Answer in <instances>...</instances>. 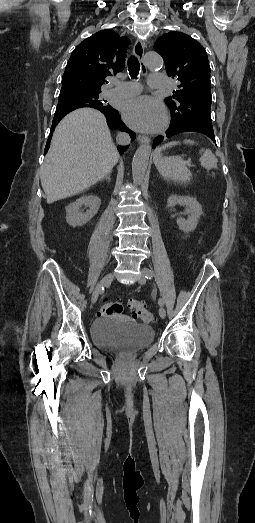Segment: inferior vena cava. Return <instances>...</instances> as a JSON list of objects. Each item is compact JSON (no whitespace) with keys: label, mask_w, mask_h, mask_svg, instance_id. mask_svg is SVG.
I'll return each instance as SVG.
<instances>
[{"label":"inferior vena cava","mask_w":255,"mask_h":523,"mask_svg":"<svg viewBox=\"0 0 255 523\" xmlns=\"http://www.w3.org/2000/svg\"><path fill=\"white\" fill-rule=\"evenodd\" d=\"M117 142L121 144V146H126V144H130V138L125 132H120L117 136Z\"/></svg>","instance_id":"obj_1"}]
</instances>
